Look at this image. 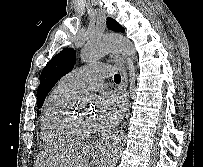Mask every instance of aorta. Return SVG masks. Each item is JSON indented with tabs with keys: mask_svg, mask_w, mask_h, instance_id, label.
Returning a JSON list of instances; mask_svg holds the SVG:
<instances>
[{
	"mask_svg": "<svg viewBox=\"0 0 203 167\" xmlns=\"http://www.w3.org/2000/svg\"><path fill=\"white\" fill-rule=\"evenodd\" d=\"M118 52L135 57L132 43L118 34L104 35L88 41L81 50V60L86 63L97 61L109 53ZM125 132L117 131L106 140L100 167H115L124 148Z\"/></svg>",
	"mask_w": 203,
	"mask_h": 167,
	"instance_id": "1",
	"label": "aorta"
}]
</instances>
